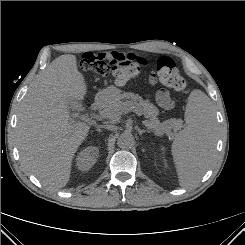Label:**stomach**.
<instances>
[{
    "label": "stomach",
    "instance_id": "0dacf381",
    "mask_svg": "<svg viewBox=\"0 0 245 245\" xmlns=\"http://www.w3.org/2000/svg\"><path fill=\"white\" fill-rule=\"evenodd\" d=\"M119 93H120V90L114 85H111L102 91V94L108 100H114L119 95Z\"/></svg>",
    "mask_w": 245,
    "mask_h": 245
}]
</instances>
